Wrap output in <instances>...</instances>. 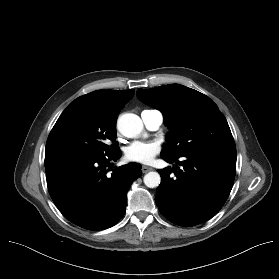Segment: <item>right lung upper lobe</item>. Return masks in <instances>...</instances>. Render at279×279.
I'll return each mask as SVG.
<instances>
[{
  "label": "right lung upper lobe",
  "instance_id": "right-lung-upper-lobe-1",
  "mask_svg": "<svg viewBox=\"0 0 279 279\" xmlns=\"http://www.w3.org/2000/svg\"><path fill=\"white\" fill-rule=\"evenodd\" d=\"M134 96V90H97L77 99L85 102L100 117L116 122L121 108Z\"/></svg>",
  "mask_w": 279,
  "mask_h": 279
}]
</instances>
